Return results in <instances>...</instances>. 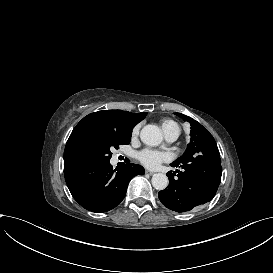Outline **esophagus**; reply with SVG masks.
I'll list each match as a JSON object with an SVG mask.
<instances>
[{"mask_svg": "<svg viewBox=\"0 0 273 273\" xmlns=\"http://www.w3.org/2000/svg\"><path fill=\"white\" fill-rule=\"evenodd\" d=\"M145 174H146V175H150V176H151V175H153V174H154V172H152V171H150V170H145Z\"/></svg>", "mask_w": 273, "mask_h": 273, "instance_id": "esophagus-1", "label": "esophagus"}]
</instances>
